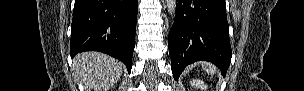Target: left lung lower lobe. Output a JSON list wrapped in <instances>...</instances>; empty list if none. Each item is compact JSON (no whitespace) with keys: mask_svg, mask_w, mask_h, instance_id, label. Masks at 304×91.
<instances>
[{"mask_svg":"<svg viewBox=\"0 0 304 91\" xmlns=\"http://www.w3.org/2000/svg\"><path fill=\"white\" fill-rule=\"evenodd\" d=\"M168 46L176 80L196 61L214 63L224 76L232 57L225 0H177Z\"/></svg>","mask_w":304,"mask_h":91,"instance_id":"obj_1","label":"left lung lower lobe"}]
</instances>
